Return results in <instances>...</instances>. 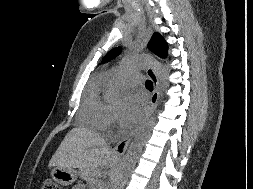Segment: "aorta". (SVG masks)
<instances>
[{
  "instance_id": "1",
  "label": "aorta",
  "mask_w": 253,
  "mask_h": 189,
  "mask_svg": "<svg viewBox=\"0 0 253 189\" xmlns=\"http://www.w3.org/2000/svg\"><path fill=\"white\" fill-rule=\"evenodd\" d=\"M148 66H153L156 70L157 74L159 75L160 79L164 84H167L168 81V70L162 66L161 63L157 62L156 60L152 59L149 56H137V57H126L122 60L120 69L126 70L130 68H137L142 69ZM105 102L110 107H121L124 103V96L123 94L114 86H109L106 89ZM156 123V117L154 115L150 116L147 120L139 134L134 138L132 143L130 144L127 153L125 155L123 165L119 174L114 177L112 189H122L123 180L125 177L133 170L135 164L142 152V149L151 135V131Z\"/></svg>"
}]
</instances>
